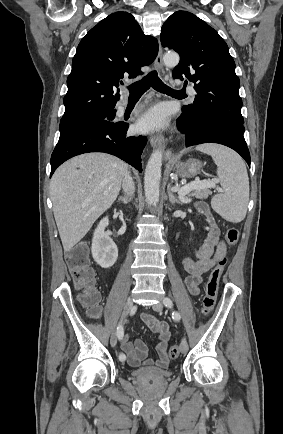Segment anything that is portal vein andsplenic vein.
Returning <instances> with one entry per match:
<instances>
[{
  "label": "portal vein and splenic vein",
  "instance_id": "obj_1",
  "mask_svg": "<svg viewBox=\"0 0 283 434\" xmlns=\"http://www.w3.org/2000/svg\"><path fill=\"white\" fill-rule=\"evenodd\" d=\"M200 187L216 188V184L213 181H207V180L194 181L178 189V194L183 199V196L190 193L193 189L200 188ZM185 202H189V201L187 200Z\"/></svg>",
  "mask_w": 283,
  "mask_h": 434
}]
</instances>
